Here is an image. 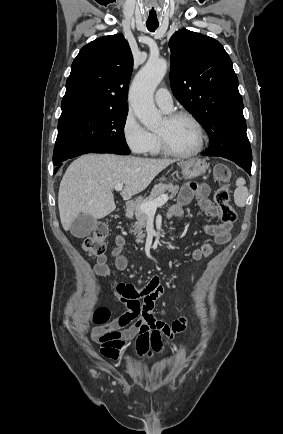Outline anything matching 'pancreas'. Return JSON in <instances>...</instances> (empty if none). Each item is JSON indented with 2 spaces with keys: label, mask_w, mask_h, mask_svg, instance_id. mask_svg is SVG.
Returning <instances> with one entry per match:
<instances>
[{
  "label": "pancreas",
  "mask_w": 283,
  "mask_h": 434,
  "mask_svg": "<svg viewBox=\"0 0 283 434\" xmlns=\"http://www.w3.org/2000/svg\"><path fill=\"white\" fill-rule=\"evenodd\" d=\"M178 190H179V186L173 185L171 183L170 184H159L153 188L150 196L144 200L139 201L137 206H135V207L128 206L127 207L128 215H130V216L135 215V218L137 220L135 222V224L132 226L133 230H131L132 233L138 234L137 239H136L137 243H143V239H144L145 235L142 234V229L146 227V221L148 218L147 214L140 209L141 204H143L145 202L154 201L155 199H157L158 197L163 195V193H165L166 191L170 192L171 198H173L178 193Z\"/></svg>",
  "instance_id": "1"
}]
</instances>
